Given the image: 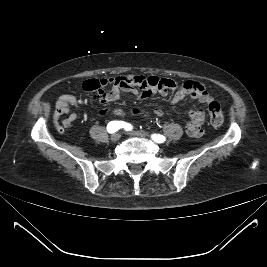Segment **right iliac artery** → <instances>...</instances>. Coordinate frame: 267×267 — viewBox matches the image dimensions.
I'll return each mask as SVG.
<instances>
[{"mask_svg": "<svg viewBox=\"0 0 267 267\" xmlns=\"http://www.w3.org/2000/svg\"><path fill=\"white\" fill-rule=\"evenodd\" d=\"M120 128H124L125 130H130L132 126L128 123L122 122V121H111L107 125V131L109 133H114Z\"/></svg>", "mask_w": 267, "mask_h": 267, "instance_id": "82829eb1", "label": "right iliac artery"}]
</instances>
